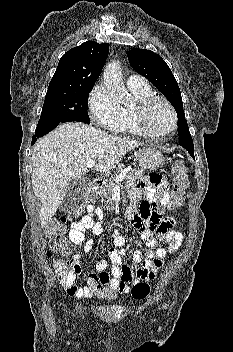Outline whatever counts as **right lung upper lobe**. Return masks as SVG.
I'll list each match as a JSON object with an SVG mask.
<instances>
[{
  "label": "right lung upper lobe",
  "mask_w": 233,
  "mask_h": 352,
  "mask_svg": "<svg viewBox=\"0 0 233 352\" xmlns=\"http://www.w3.org/2000/svg\"><path fill=\"white\" fill-rule=\"evenodd\" d=\"M109 44L84 42L60 59L48 89L78 88L94 85L106 62Z\"/></svg>",
  "instance_id": "obj_1"
}]
</instances>
